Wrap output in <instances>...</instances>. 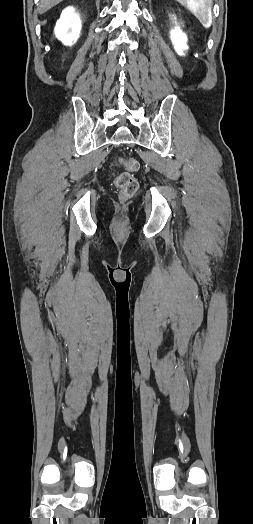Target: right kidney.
<instances>
[{
	"mask_svg": "<svg viewBox=\"0 0 253 524\" xmlns=\"http://www.w3.org/2000/svg\"><path fill=\"white\" fill-rule=\"evenodd\" d=\"M82 24L78 13L73 7H67L61 13L55 26V35L65 45H73L80 36Z\"/></svg>",
	"mask_w": 253,
	"mask_h": 524,
	"instance_id": "1",
	"label": "right kidney"
}]
</instances>
